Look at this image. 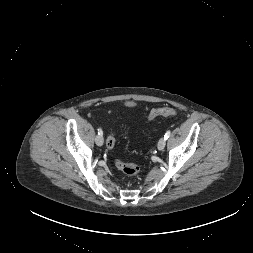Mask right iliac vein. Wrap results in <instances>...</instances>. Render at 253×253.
<instances>
[{
    "mask_svg": "<svg viewBox=\"0 0 253 253\" xmlns=\"http://www.w3.org/2000/svg\"><path fill=\"white\" fill-rule=\"evenodd\" d=\"M95 142H96V144H97L98 146H102V145H103V142H104L103 136H102V135L96 136Z\"/></svg>",
    "mask_w": 253,
    "mask_h": 253,
    "instance_id": "63e3f726",
    "label": "right iliac vein"
}]
</instances>
